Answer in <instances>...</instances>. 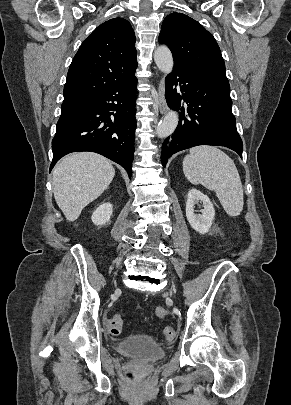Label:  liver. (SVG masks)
<instances>
[{
	"mask_svg": "<svg viewBox=\"0 0 291 405\" xmlns=\"http://www.w3.org/2000/svg\"><path fill=\"white\" fill-rule=\"evenodd\" d=\"M114 175L110 161L92 152L73 153L58 162L53 170V192L67 221H75L107 189Z\"/></svg>",
	"mask_w": 291,
	"mask_h": 405,
	"instance_id": "6515ba94",
	"label": "liver"
}]
</instances>
